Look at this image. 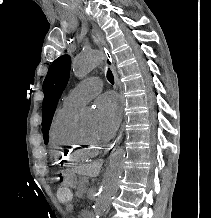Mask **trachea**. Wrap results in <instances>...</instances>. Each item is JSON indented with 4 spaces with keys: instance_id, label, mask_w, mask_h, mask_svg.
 Listing matches in <instances>:
<instances>
[{
    "instance_id": "trachea-1",
    "label": "trachea",
    "mask_w": 211,
    "mask_h": 218,
    "mask_svg": "<svg viewBox=\"0 0 211 218\" xmlns=\"http://www.w3.org/2000/svg\"><path fill=\"white\" fill-rule=\"evenodd\" d=\"M106 76H107L108 81H109L112 85H114V76H113L112 71H111L109 68H108V70H107Z\"/></svg>"
}]
</instances>
